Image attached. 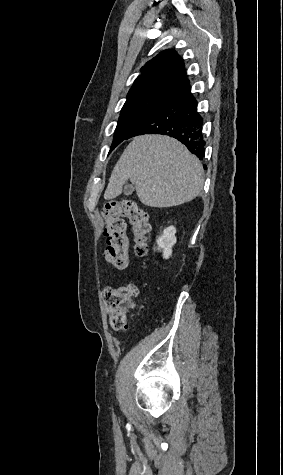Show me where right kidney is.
Returning <instances> with one entry per match:
<instances>
[{"mask_svg": "<svg viewBox=\"0 0 283 475\" xmlns=\"http://www.w3.org/2000/svg\"><path fill=\"white\" fill-rule=\"evenodd\" d=\"M175 234L176 228H174V226H168V228L163 230V234L156 239L157 249L163 251V257H165V259H168V257L172 255V247L174 243H176Z\"/></svg>", "mask_w": 283, "mask_h": 475, "instance_id": "1", "label": "right kidney"}]
</instances>
